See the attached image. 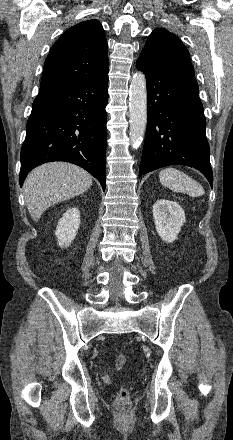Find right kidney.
<instances>
[{"label":"right kidney","instance_id":"ca27d5eb","mask_svg":"<svg viewBox=\"0 0 233 440\" xmlns=\"http://www.w3.org/2000/svg\"><path fill=\"white\" fill-rule=\"evenodd\" d=\"M80 226V213L77 208H71L59 220L55 235L60 247H68L74 240Z\"/></svg>","mask_w":233,"mask_h":440}]
</instances>
